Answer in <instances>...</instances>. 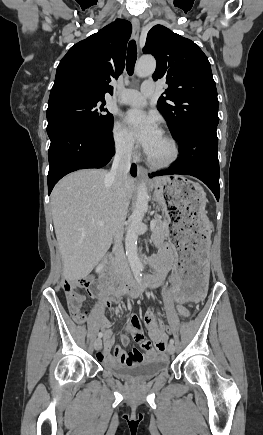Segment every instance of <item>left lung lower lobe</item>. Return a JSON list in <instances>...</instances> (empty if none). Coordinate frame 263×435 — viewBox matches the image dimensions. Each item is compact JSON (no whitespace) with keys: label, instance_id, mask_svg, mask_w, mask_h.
I'll return each mask as SVG.
<instances>
[{"label":"left lung lower lobe","instance_id":"1","mask_svg":"<svg viewBox=\"0 0 263 435\" xmlns=\"http://www.w3.org/2000/svg\"><path fill=\"white\" fill-rule=\"evenodd\" d=\"M215 126L192 127L176 139L180 155L172 167L154 172L150 177L161 175H191L203 181L219 200L218 138Z\"/></svg>","mask_w":263,"mask_h":435}]
</instances>
